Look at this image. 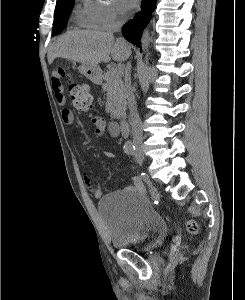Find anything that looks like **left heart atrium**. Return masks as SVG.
<instances>
[{
  "label": "left heart atrium",
  "mask_w": 245,
  "mask_h": 300,
  "mask_svg": "<svg viewBox=\"0 0 245 300\" xmlns=\"http://www.w3.org/2000/svg\"><path fill=\"white\" fill-rule=\"evenodd\" d=\"M125 9L130 10L137 6L139 0H120Z\"/></svg>",
  "instance_id": "left-heart-atrium-1"
}]
</instances>
